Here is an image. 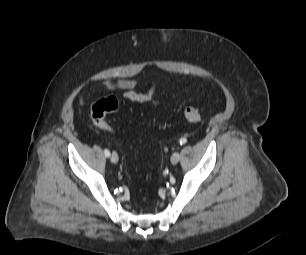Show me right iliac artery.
Instances as JSON below:
<instances>
[{
    "label": "right iliac artery",
    "instance_id": "82829eb1",
    "mask_svg": "<svg viewBox=\"0 0 306 255\" xmlns=\"http://www.w3.org/2000/svg\"><path fill=\"white\" fill-rule=\"evenodd\" d=\"M104 154H105L106 157H109L110 156V151L108 149H105Z\"/></svg>",
    "mask_w": 306,
    "mask_h": 255
}]
</instances>
